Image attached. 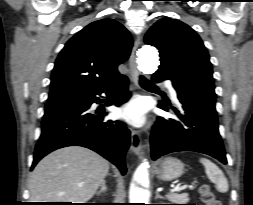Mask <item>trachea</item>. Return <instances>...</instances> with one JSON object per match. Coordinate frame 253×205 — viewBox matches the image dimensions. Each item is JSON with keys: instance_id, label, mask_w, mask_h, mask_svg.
I'll list each match as a JSON object with an SVG mask.
<instances>
[{"instance_id": "trachea-1", "label": "trachea", "mask_w": 253, "mask_h": 205, "mask_svg": "<svg viewBox=\"0 0 253 205\" xmlns=\"http://www.w3.org/2000/svg\"><path fill=\"white\" fill-rule=\"evenodd\" d=\"M139 83L144 88L155 89V87L143 76H140Z\"/></svg>"}]
</instances>
